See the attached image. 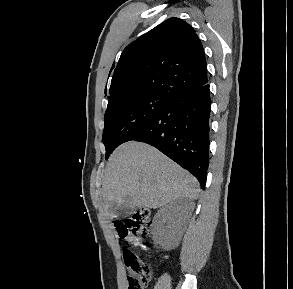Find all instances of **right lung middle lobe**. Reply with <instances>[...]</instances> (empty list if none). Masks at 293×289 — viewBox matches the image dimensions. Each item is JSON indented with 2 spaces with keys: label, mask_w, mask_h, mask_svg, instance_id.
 <instances>
[{
  "label": "right lung middle lobe",
  "mask_w": 293,
  "mask_h": 289,
  "mask_svg": "<svg viewBox=\"0 0 293 289\" xmlns=\"http://www.w3.org/2000/svg\"><path fill=\"white\" fill-rule=\"evenodd\" d=\"M171 100L159 94H144L119 100L107 107L103 143L106 159L120 144L156 116Z\"/></svg>",
  "instance_id": "1"
}]
</instances>
